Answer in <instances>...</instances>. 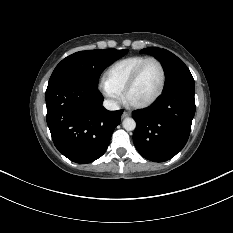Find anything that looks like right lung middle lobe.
<instances>
[{
	"label": "right lung middle lobe",
	"instance_id": "obj_1",
	"mask_svg": "<svg viewBox=\"0 0 233 233\" xmlns=\"http://www.w3.org/2000/svg\"><path fill=\"white\" fill-rule=\"evenodd\" d=\"M128 53V50L104 49L76 52L64 58L54 69L49 83L69 80L98 87L102 71Z\"/></svg>",
	"mask_w": 233,
	"mask_h": 233
}]
</instances>
